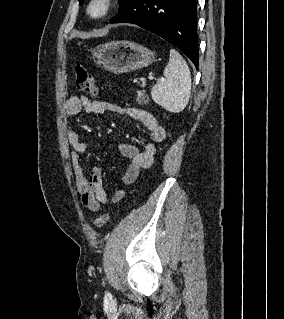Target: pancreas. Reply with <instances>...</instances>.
Returning a JSON list of instances; mask_svg holds the SVG:
<instances>
[{
    "label": "pancreas",
    "instance_id": "pancreas-1",
    "mask_svg": "<svg viewBox=\"0 0 284 319\" xmlns=\"http://www.w3.org/2000/svg\"><path fill=\"white\" fill-rule=\"evenodd\" d=\"M146 83L145 82H142V87H145ZM137 103L139 105H144V104H147L149 102V97L147 95H145V91H138L137 92Z\"/></svg>",
    "mask_w": 284,
    "mask_h": 319
}]
</instances>
